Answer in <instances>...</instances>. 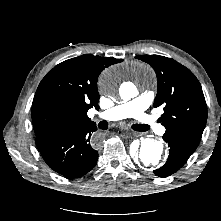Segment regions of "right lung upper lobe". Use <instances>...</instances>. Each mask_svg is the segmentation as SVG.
I'll use <instances>...</instances> for the list:
<instances>
[{
	"label": "right lung upper lobe",
	"instance_id": "obj_1",
	"mask_svg": "<svg viewBox=\"0 0 221 221\" xmlns=\"http://www.w3.org/2000/svg\"><path fill=\"white\" fill-rule=\"evenodd\" d=\"M121 59L91 54L66 60L40 82L32 103V123L36 137L66 127L94 122L87 111L99 109L97 80L108 66Z\"/></svg>",
	"mask_w": 221,
	"mask_h": 221
}]
</instances>
